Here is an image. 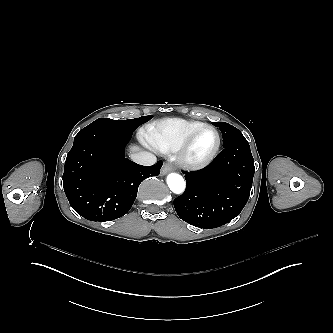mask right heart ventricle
<instances>
[{"label":"right heart ventricle","instance_id":"right-heart-ventricle-1","mask_svg":"<svg viewBox=\"0 0 333 333\" xmlns=\"http://www.w3.org/2000/svg\"><path fill=\"white\" fill-rule=\"evenodd\" d=\"M203 124L199 120L166 119L146 126L140 134V141L161 154L175 153L184 137Z\"/></svg>","mask_w":333,"mask_h":333}]
</instances>
